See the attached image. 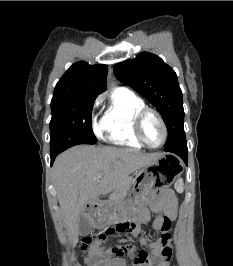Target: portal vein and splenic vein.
I'll return each instance as SVG.
<instances>
[{
	"label": "portal vein and splenic vein",
	"mask_w": 233,
	"mask_h": 266,
	"mask_svg": "<svg viewBox=\"0 0 233 266\" xmlns=\"http://www.w3.org/2000/svg\"><path fill=\"white\" fill-rule=\"evenodd\" d=\"M97 179H100L101 178V175L99 174V175H97V177H96Z\"/></svg>",
	"instance_id": "obj_1"
}]
</instances>
